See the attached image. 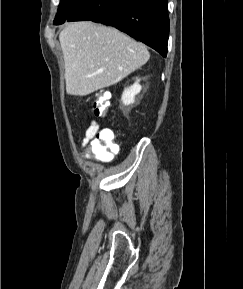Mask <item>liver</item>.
<instances>
[{"mask_svg": "<svg viewBox=\"0 0 243 289\" xmlns=\"http://www.w3.org/2000/svg\"><path fill=\"white\" fill-rule=\"evenodd\" d=\"M59 41L69 95L86 96L114 85L150 57L144 44L113 27L89 21L67 25Z\"/></svg>", "mask_w": 243, "mask_h": 289, "instance_id": "liver-1", "label": "liver"}]
</instances>
